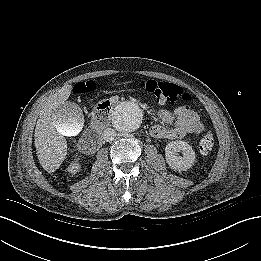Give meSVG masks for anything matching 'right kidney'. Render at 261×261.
Returning <instances> with one entry per match:
<instances>
[{
    "label": "right kidney",
    "mask_w": 261,
    "mask_h": 261,
    "mask_svg": "<svg viewBox=\"0 0 261 261\" xmlns=\"http://www.w3.org/2000/svg\"><path fill=\"white\" fill-rule=\"evenodd\" d=\"M80 169H81V165L78 162H73L68 167V171L72 174L77 173Z\"/></svg>",
    "instance_id": "obj_1"
}]
</instances>
